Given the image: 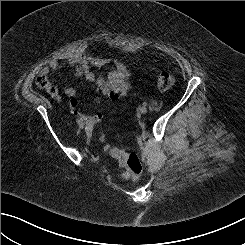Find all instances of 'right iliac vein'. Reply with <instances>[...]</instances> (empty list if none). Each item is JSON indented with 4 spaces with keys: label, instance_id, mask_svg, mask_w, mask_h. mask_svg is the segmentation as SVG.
<instances>
[{
    "label": "right iliac vein",
    "instance_id": "63e3f726",
    "mask_svg": "<svg viewBox=\"0 0 245 245\" xmlns=\"http://www.w3.org/2000/svg\"><path fill=\"white\" fill-rule=\"evenodd\" d=\"M79 127H80L81 129H83V128H84V123H81V124L79 125Z\"/></svg>",
    "mask_w": 245,
    "mask_h": 245
}]
</instances>
